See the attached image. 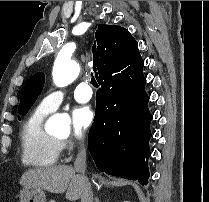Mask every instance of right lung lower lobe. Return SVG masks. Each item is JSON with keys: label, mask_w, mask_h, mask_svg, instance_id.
<instances>
[{"label": "right lung lower lobe", "mask_w": 209, "mask_h": 202, "mask_svg": "<svg viewBox=\"0 0 209 202\" xmlns=\"http://www.w3.org/2000/svg\"><path fill=\"white\" fill-rule=\"evenodd\" d=\"M146 79L114 90L100 88L88 148L100 171L147 185L151 138Z\"/></svg>", "instance_id": "1"}]
</instances>
